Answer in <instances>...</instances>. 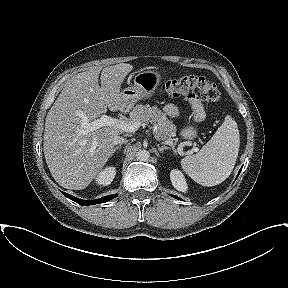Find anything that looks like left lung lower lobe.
<instances>
[{
    "instance_id": "obj_1",
    "label": "left lung lower lobe",
    "mask_w": 288,
    "mask_h": 288,
    "mask_svg": "<svg viewBox=\"0 0 288 288\" xmlns=\"http://www.w3.org/2000/svg\"><path fill=\"white\" fill-rule=\"evenodd\" d=\"M241 170H242V168L240 169L238 175L240 174ZM173 197L176 198V199H179V198H178L177 196H175V195H173Z\"/></svg>"
}]
</instances>
